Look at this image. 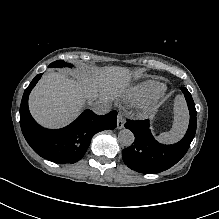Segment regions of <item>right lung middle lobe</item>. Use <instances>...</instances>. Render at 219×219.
<instances>
[{
	"label": "right lung middle lobe",
	"mask_w": 219,
	"mask_h": 219,
	"mask_svg": "<svg viewBox=\"0 0 219 219\" xmlns=\"http://www.w3.org/2000/svg\"><path fill=\"white\" fill-rule=\"evenodd\" d=\"M66 66H70L71 67L72 65L65 63L63 60L55 61V62H53V63H51L49 65V67H59V68L66 67Z\"/></svg>",
	"instance_id": "right-lung-middle-lobe-1"
}]
</instances>
